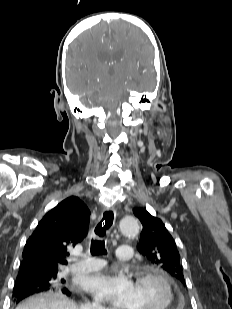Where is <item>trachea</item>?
<instances>
[{
	"label": "trachea",
	"instance_id": "1",
	"mask_svg": "<svg viewBox=\"0 0 232 309\" xmlns=\"http://www.w3.org/2000/svg\"><path fill=\"white\" fill-rule=\"evenodd\" d=\"M90 252L92 255L106 254L105 242L103 240H92Z\"/></svg>",
	"mask_w": 232,
	"mask_h": 309
}]
</instances>
